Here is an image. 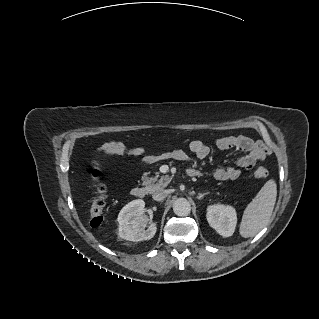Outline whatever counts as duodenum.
I'll return each mask as SVG.
<instances>
[{
    "instance_id": "obj_1",
    "label": "duodenum",
    "mask_w": 319,
    "mask_h": 319,
    "mask_svg": "<svg viewBox=\"0 0 319 319\" xmlns=\"http://www.w3.org/2000/svg\"><path fill=\"white\" fill-rule=\"evenodd\" d=\"M187 174L191 177H197L199 175L196 171H188ZM131 194L133 197L141 199L145 197L146 190L142 186H136L132 189Z\"/></svg>"
}]
</instances>
